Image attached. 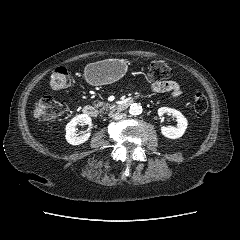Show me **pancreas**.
I'll return each instance as SVG.
<instances>
[{"instance_id": "cf45deb5", "label": "pancreas", "mask_w": 240, "mask_h": 240, "mask_svg": "<svg viewBox=\"0 0 240 240\" xmlns=\"http://www.w3.org/2000/svg\"><path fill=\"white\" fill-rule=\"evenodd\" d=\"M95 107H101V110L104 111V110H108L110 108V105L107 104V103H104V102H98L97 104H94Z\"/></svg>"}]
</instances>
